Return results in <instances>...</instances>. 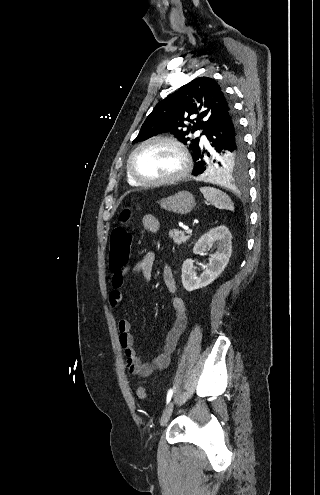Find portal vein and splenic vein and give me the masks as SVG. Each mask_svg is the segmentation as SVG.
Returning <instances> with one entry per match:
<instances>
[{
    "label": "portal vein and splenic vein",
    "instance_id": "portal-vein-and-splenic-vein-1",
    "mask_svg": "<svg viewBox=\"0 0 320 495\" xmlns=\"http://www.w3.org/2000/svg\"><path fill=\"white\" fill-rule=\"evenodd\" d=\"M186 233H187V234H191V233H192V229H188V230L186 231Z\"/></svg>",
    "mask_w": 320,
    "mask_h": 495
}]
</instances>
